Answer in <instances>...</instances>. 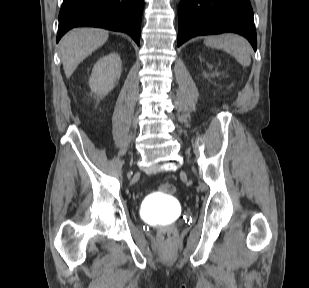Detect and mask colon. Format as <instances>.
I'll use <instances>...</instances> for the list:
<instances>
[{
    "label": "colon",
    "mask_w": 309,
    "mask_h": 288,
    "mask_svg": "<svg viewBox=\"0 0 309 288\" xmlns=\"http://www.w3.org/2000/svg\"><path fill=\"white\" fill-rule=\"evenodd\" d=\"M161 190L166 194H173L175 187L170 183H163L161 185ZM160 237L163 241L171 240L174 237V230L171 228H165L162 230Z\"/></svg>",
    "instance_id": "1"
}]
</instances>
